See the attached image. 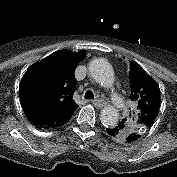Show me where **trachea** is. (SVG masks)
Wrapping results in <instances>:
<instances>
[{
	"label": "trachea",
	"mask_w": 177,
	"mask_h": 177,
	"mask_svg": "<svg viewBox=\"0 0 177 177\" xmlns=\"http://www.w3.org/2000/svg\"><path fill=\"white\" fill-rule=\"evenodd\" d=\"M85 98L87 99H93L94 98V94L91 90H88L86 93H85Z\"/></svg>",
	"instance_id": "trachea-1"
}]
</instances>
